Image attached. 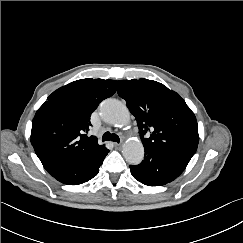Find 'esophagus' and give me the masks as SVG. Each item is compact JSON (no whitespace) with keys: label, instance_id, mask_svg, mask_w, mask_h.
I'll return each mask as SVG.
<instances>
[{"label":"esophagus","instance_id":"esophagus-1","mask_svg":"<svg viewBox=\"0 0 243 243\" xmlns=\"http://www.w3.org/2000/svg\"><path fill=\"white\" fill-rule=\"evenodd\" d=\"M114 147L116 149H120L121 148V143H114Z\"/></svg>","mask_w":243,"mask_h":243}]
</instances>
